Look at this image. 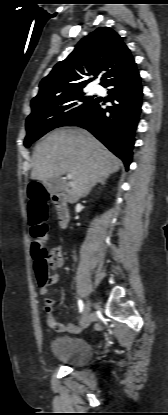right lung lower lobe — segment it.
<instances>
[{
    "label": "right lung lower lobe",
    "mask_w": 168,
    "mask_h": 415,
    "mask_svg": "<svg viewBox=\"0 0 168 415\" xmlns=\"http://www.w3.org/2000/svg\"><path fill=\"white\" fill-rule=\"evenodd\" d=\"M111 106L101 98L83 115L66 126H78L91 132L111 152L123 160L126 169L132 162L134 132L138 124L142 105V87L136 64L109 80Z\"/></svg>",
    "instance_id": "right-lung-lower-lobe-1"
}]
</instances>
